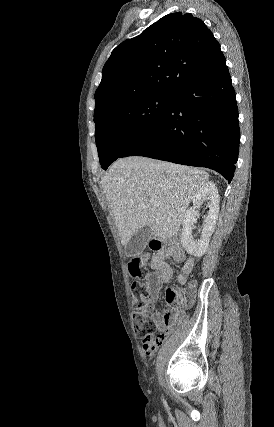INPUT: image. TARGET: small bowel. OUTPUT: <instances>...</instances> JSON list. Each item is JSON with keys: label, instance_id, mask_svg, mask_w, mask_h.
Here are the masks:
<instances>
[{"label": "small bowel", "instance_id": "c3829d8e", "mask_svg": "<svg viewBox=\"0 0 274 427\" xmlns=\"http://www.w3.org/2000/svg\"><path fill=\"white\" fill-rule=\"evenodd\" d=\"M170 260L181 264V270L177 276L180 284H185L188 281L195 266V259L187 257L180 244L172 243L159 248L151 259V271L144 275L146 299L150 306L156 304L162 286L168 283L173 276ZM179 313L177 308L165 313L159 311L152 313L151 319L155 323L158 333L150 337H143V352L146 356H153L166 340L177 323Z\"/></svg>", "mask_w": 274, "mask_h": 427}]
</instances>
